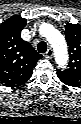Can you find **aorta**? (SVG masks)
Masks as SVG:
<instances>
[{
    "label": "aorta",
    "mask_w": 81,
    "mask_h": 124,
    "mask_svg": "<svg viewBox=\"0 0 81 124\" xmlns=\"http://www.w3.org/2000/svg\"><path fill=\"white\" fill-rule=\"evenodd\" d=\"M40 33L45 36L51 44L54 50L56 63L59 67H64L68 61V51L62 34L49 24H42L40 26Z\"/></svg>",
    "instance_id": "obj_1"
}]
</instances>
